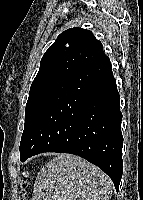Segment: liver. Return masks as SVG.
Here are the masks:
<instances>
[{"label": "liver", "mask_w": 143, "mask_h": 200, "mask_svg": "<svg viewBox=\"0 0 143 200\" xmlns=\"http://www.w3.org/2000/svg\"><path fill=\"white\" fill-rule=\"evenodd\" d=\"M110 178L72 154H59L38 172L32 200H110Z\"/></svg>", "instance_id": "liver-1"}]
</instances>
